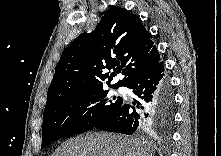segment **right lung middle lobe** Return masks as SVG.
Instances as JSON below:
<instances>
[{"mask_svg":"<svg viewBox=\"0 0 221 156\" xmlns=\"http://www.w3.org/2000/svg\"><path fill=\"white\" fill-rule=\"evenodd\" d=\"M123 103L121 97H108L104 89L78 91L45 108L42 146L63 137L84 133L108 118Z\"/></svg>","mask_w":221,"mask_h":156,"instance_id":"right-lung-middle-lobe-1","label":"right lung middle lobe"}]
</instances>
